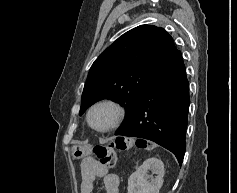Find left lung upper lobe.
Segmentation results:
<instances>
[{
    "label": "left lung upper lobe",
    "mask_w": 237,
    "mask_h": 193,
    "mask_svg": "<svg viewBox=\"0 0 237 193\" xmlns=\"http://www.w3.org/2000/svg\"><path fill=\"white\" fill-rule=\"evenodd\" d=\"M172 37L161 27L140 25L110 45L93 63L85 83L79 115L102 99L126 109L124 129L136 114L148 87L177 53Z\"/></svg>",
    "instance_id": "left-lung-upper-lobe-1"
}]
</instances>
